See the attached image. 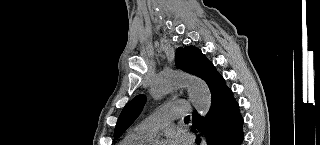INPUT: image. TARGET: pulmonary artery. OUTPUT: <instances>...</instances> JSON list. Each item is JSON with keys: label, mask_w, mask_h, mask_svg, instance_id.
Segmentation results:
<instances>
[{"label": "pulmonary artery", "mask_w": 320, "mask_h": 145, "mask_svg": "<svg viewBox=\"0 0 320 145\" xmlns=\"http://www.w3.org/2000/svg\"><path fill=\"white\" fill-rule=\"evenodd\" d=\"M188 113L185 101H175L160 106L152 115L141 121L135 130L149 138L166 126L171 120L185 116Z\"/></svg>", "instance_id": "obj_1"}]
</instances>
